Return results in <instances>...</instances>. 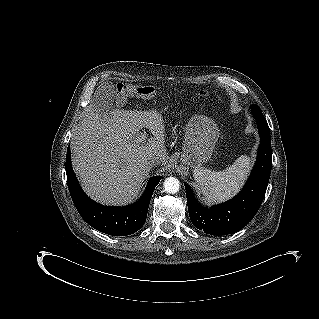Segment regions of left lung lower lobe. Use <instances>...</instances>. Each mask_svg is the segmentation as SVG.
<instances>
[{
  "label": "left lung lower lobe",
  "instance_id": "left-lung-lower-lobe-1",
  "mask_svg": "<svg viewBox=\"0 0 319 319\" xmlns=\"http://www.w3.org/2000/svg\"><path fill=\"white\" fill-rule=\"evenodd\" d=\"M260 145L255 167L242 191L232 200L201 206L185 184L191 222L199 230L211 235H227L241 230L254 217L266 193L272 168L270 129L267 121H257Z\"/></svg>",
  "mask_w": 319,
  "mask_h": 319
}]
</instances>
